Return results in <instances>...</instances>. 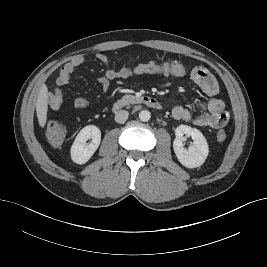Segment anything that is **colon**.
Here are the masks:
<instances>
[{
    "instance_id": "1",
    "label": "colon",
    "mask_w": 267,
    "mask_h": 267,
    "mask_svg": "<svg viewBox=\"0 0 267 267\" xmlns=\"http://www.w3.org/2000/svg\"><path fill=\"white\" fill-rule=\"evenodd\" d=\"M186 67L182 62L172 61L165 63L143 62L135 65L123 67L118 70V79H130L143 74H162L168 76H183ZM45 133L49 142L53 145H59L66 136V127L57 121H51L46 125ZM218 142L226 139L224 131H219L216 135Z\"/></svg>"
}]
</instances>
